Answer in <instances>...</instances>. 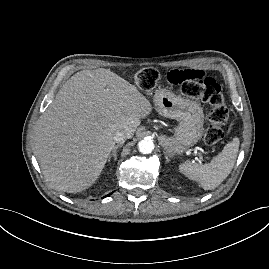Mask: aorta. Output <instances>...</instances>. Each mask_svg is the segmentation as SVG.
I'll return each instance as SVG.
<instances>
[{
    "label": "aorta",
    "mask_w": 269,
    "mask_h": 269,
    "mask_svg": "<svg viewBox=\"0 0 269 269\" xmlns=\"http://www.w3.org/2000/svg\"><path fill=\"white\" fill-rule=\"evenodd\" d=\"M138 149L143 154H149L154 149V143L150 138H144L143 140L139 141Z\"/></svg>",
    "instance_id": "762f6f07"
}]
</instances>
